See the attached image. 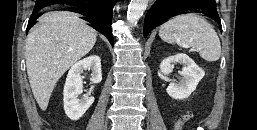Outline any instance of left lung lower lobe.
<instances>
[{
    "instance_id": "1",
    "label": "left lung lower lobe",
    "mask_w": 257,
    "mask_h": 130,
    "mask_svg": "<svg viewBox=\"0 0 257 130\" xmlns=\"http://www.w3.org/2000/svg\"><path fill=\"white\" fill-rule=\"evenodd\" d=\"M187 11L202 13L221 25L215 0H158L146 14L144 36L169 18Z\"/></svg>"
}]
</instances>
